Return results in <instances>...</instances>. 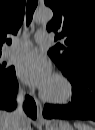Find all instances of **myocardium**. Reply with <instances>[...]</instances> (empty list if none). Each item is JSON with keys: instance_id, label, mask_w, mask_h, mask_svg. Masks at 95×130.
Instances as JSON below:
<instances>
[{"instance_id": "f54148a6", "label": "myocardium", "mask_w": 95, "mask_h": 130, "mask_svg": "<svg viewBox=\"0 0 95 130\" xmlns=\"http://www.w3.org/2000/svg\"><path fill=\"white\" fill-rule=\"evenodd\" d=\"M53 76L63 82V84L65 86L64 95L61 97H50V96L46 95L42 89L40 91V97L44 101L53 103V104H65V103L69 102L72 99L73 94H74V88H73L72 82L68 79V77H66L64 74H62L60 72L54 73Z\"/></svg>"}]
</instances>
